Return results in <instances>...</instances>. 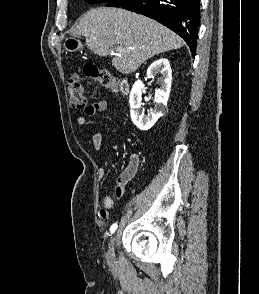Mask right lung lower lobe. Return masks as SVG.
I'll return each mask as SVG.
<instances>
[{
  "instance_id": "right-lung-lower-lobe-1",
  "label": "right lung lower lobe",
  "mask_w": 259,
  "mask_h": 294,
  "mask_svg": "<svg viewBox=\"0 0 259 294\" xmlns=\"http://www.w3.org/2000/svg\"><path fill=\"white\" fill-rule=\"evenodd\" d=\"M121 7L165 25L185 40L195 56L200 0H129Z\"/></svg>"
}]
</instances>
